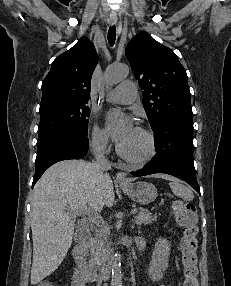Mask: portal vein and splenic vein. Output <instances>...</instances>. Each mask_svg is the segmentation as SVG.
<instances>
[{
  "label": "portal vein and splenic vein",
  "instance_id": "portal-vein-and-splenic-vein-1",
  "mask_svg": "<svg viewBox=\"0 0 231 286\" xmlns=\"http://www.w3.org/2000/svg\"><path fill=\"white\" fill-rule=\"evenodd\" d=\"M138 212V210L135 208V209H132L131 210V214L134 215ZM73 213L75 215H83V214H87L89 215V217L91 218V220L96 223L98 226L102 227L105 225V221L97 214L89 211V210H86V209H73Z\"/></svg>",
  "mask_w": 231,
  "mask_h": 286
}]
</instances>
